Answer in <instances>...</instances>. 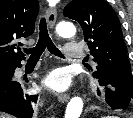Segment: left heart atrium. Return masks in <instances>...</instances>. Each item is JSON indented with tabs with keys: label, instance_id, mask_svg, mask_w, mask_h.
I'll list each match as a JSON object with an SVG mask.
<instances>
[{
	"label": "left heart atrium",
	"instance_id": "obj_1",
	"mask_svg": "<svg viewBox=\"0 0 133 118\" xmlns=\"http://www.w3.org/2000/svg\"><path fill=\"white\" fill-rule=\"evenodd\" d=\"M43 84L46 88L61 92L68 88L69 79L67 73L62 69H54L45 77Z\"/></svg>",
	"mask_w": 133,
	"mask_h": 118
}]
</instances>
